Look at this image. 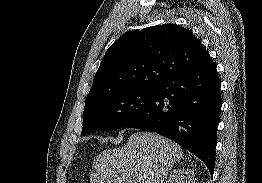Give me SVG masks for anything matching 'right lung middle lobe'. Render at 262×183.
Here are the masks:
<instances>
[{"instance_id": "dd1d6c3e", "label": "right lung middle lobe", "mask_w": 262, "mask_h": 183, "mask_svg": "<svg viewBox=\"0 0 262 183\" xmlns=\"http://www.w3.org/2000/svg\"><path fill=\"white\" fill-rule=\"evenodd\" d=\"M155 96L156 88H130L86 101L81 134L128 126Z\"/></svg>"}]
</instances>
